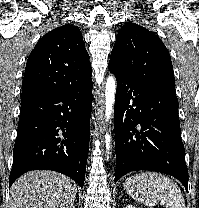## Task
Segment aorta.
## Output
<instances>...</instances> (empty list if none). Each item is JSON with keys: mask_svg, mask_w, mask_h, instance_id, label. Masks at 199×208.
<instances>
[{"mask_svg": "<svg viewBox=\"0 0 199 208\" xmlns=\"http://www.w3.org/2000/svg\"><path fill=\"white\" fill-rule=\"evenodd\" d=\"M116 79L113 75H109L105 84V121L108 122L112 118L114 111L115 93H116ZM106 154L109 155L111 149V136L108 132L105 134ZM109 156H107V159Z\"/></svg>", "mask_w": 199, "mask_h": 208, "instance_id": "aorta-1", "label": "aorta"}]
</instances>
